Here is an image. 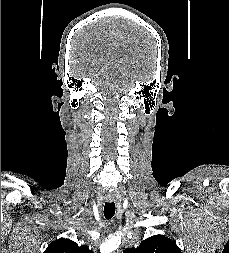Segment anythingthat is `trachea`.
<instances>
[{
    "label": "trachea",
    "instance_id": "obj_1",
    "mask_svg": "<svg viewBox=\"0 0 229 253\" xmlns=\"http://www.w3.org/2000/svg\"><path fill=\"white\" fill-rule=\"evenodd\" d=\"M115 214V203L114 202H109L105 203L104 206V216L107 219H111Z\"/></svg>",
    "mask_w": 229,
    "mask_h": 253
}]
</instances>
